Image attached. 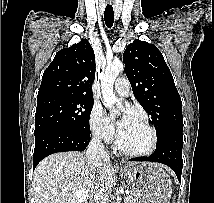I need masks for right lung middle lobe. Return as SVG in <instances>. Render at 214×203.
<instances>
[{"label":"right lung middle lobe","mask_w":214,"mask_h":203,"mask_svg":"<svg viewBox=\"0 0 214 203\" xmlns=\"http://www.w3.org/2000/svg\"><path fill=\"white\" fill-rule=\"evenodd\" d=\"M92 108V97L50 95L37 98L34 135L48 128L90 135L89 118Z\"/></svg>","instance_id":"obj_1"}]
</instances>
